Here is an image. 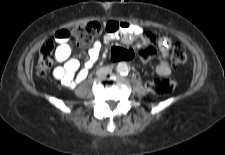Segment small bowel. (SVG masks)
<instances>
[{"label":"small bowel","instance_id":"obj_1","mask_svg":"<svg viewBox=\"0 0 225 155\" xmlns=\"http://www.w3.org/2000/svg\"><path fill=\"white\" fill-rule=\"evenodd\" d=\"M105 28L107 31L106 41L121 38L125 44H131L135 37L142 34L141 27L128 22L108 21ZM53 38L58 44L55 53L56 59L58 62L63 63L54 69L53 76L63 85L72 88L86 79L89 69L99 57L102 44L99 40L93 43L85 66L80 69L78 60L70 57L71 48L68 44L72 41V32L68 28L61 27L54 32ZM157 45L160 52V61L156 66V72L160 76H168L171 73V65L168 59L172 42L168 37L162 36L158 38Z\"/></svg>","mask_w":225,"mask_h":155}]
</instances>
